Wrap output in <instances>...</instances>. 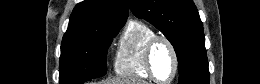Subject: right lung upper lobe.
<instances>
[{"label":"right lung upper lobe","instance_id":"cb5924a9","mask_svg":"<svg viewBox=\"0 0 260 84\" xmlns=\"http://www.w3.org/2000/svg\"><path fill=\"white\" fill-rule=\"evenodd\" d=\"M127 17L126 0H85L74 8L63 42L87 39L97 27L125 24Z\"/></svg>","mask_w":260,"mask_h":84}]
</instances>
